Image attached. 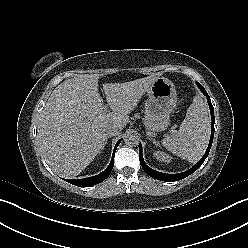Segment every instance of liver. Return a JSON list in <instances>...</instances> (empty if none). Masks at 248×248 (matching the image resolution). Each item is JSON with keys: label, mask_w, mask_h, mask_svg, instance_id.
Returning a JSON list of instances; mask_svg holds the SVG:
<instances>
[{"label": "liver", "mask_w": 248, "mask_h": 248, "mask_svg": "<svg viewBox=\"0 0 248 248\" xmlns=\"http://www.w3.org/2000/svg\"><path fill=\"white\" fill-rule=\"evenodd\" d=\"M154 74L125 83H105L103 90L113 112L107 113L98 93L99 76L82 74L65 80L50 95L39 119L37 139L46 163L66 178L80 174L100 152L110 124L121 130L128 114L146 89L159 77Z\"/></svg>", "instance_id": "liver-1"}]
</instances>
